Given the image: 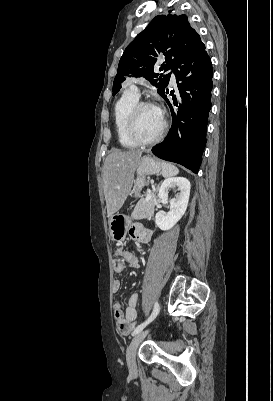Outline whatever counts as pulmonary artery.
Listing matches in <instances>:
<instances>
[{
    "instance_id": "pulmonary-artery-1",
    "label": "pulmonary artery",
    "mask_w": 273,
    "mask_h": 401,
    "mask_svg": "<svg viewBox=\"0 0 273 401\" xmlns=\"http://www.w3.org/2000/svg\"><path fill=\"white\" fill-rule=\"evenodd\" d=\"M171 69H175V66H171ZM170 82H171L172 85H175V82H176L175 76H171V77H170ZM131 86H132L133 88H132ZM131 86H127V87L125 88V91H126L127 93H132L134 96L139 97V96H140V92H139L138 87L140 86V83H139L138 81H133V82L131 83Z\"/></svg>"
}]
</instances>
